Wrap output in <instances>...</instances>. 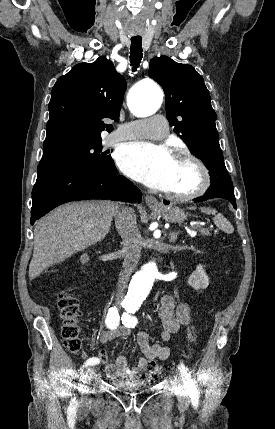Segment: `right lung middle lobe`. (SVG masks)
Listing matches in <instances>:
<instances>
[{"label":"right lung middle lobe","instance_id":"dd1d6c3e","mask_svg":"<svg viewBox=\"0 0 275 429\" xmlns=\"http://www.w3.org/2000/svg\"><path fill=\"white\" fill-rule=\"evenodd\" d=\"M108 152H102L101 141L75 144L43 155L37 167V180L71 170L107 169L115 167Z\"/></svg>","mask_w":275,"mask_h":429}]
</instances>
